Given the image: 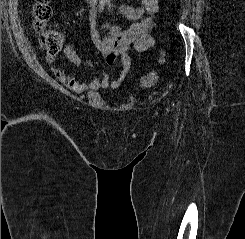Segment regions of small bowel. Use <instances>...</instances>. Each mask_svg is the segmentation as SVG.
I'll return each instance as SVG.
<instances>
[{
	"label": "small bowel",
	"mask_w": 245,
	"mask_h": 239,
	"mask_svg": "<svg viewBox=\"0 0 245 239\" xmlns=\"http://www.w3.org/2000/svg\"><path fill=\"white\" fill-rule=\"evenodd\" d=\"M158 9L157 0H141L140 7H132L122 4L119 13L126 19L135 21L128 29L103 24L98 26L96 13L93 10L89 15L90 37L95 48L105 58L109 66L119 63V72L116 78L110 79L107 73L99 72L92 81L81 82L75 77L68 75L61 66L53 65L57 60V54H48L46 62L52 65V72L57 79L68 89L75 93L97 89H118L130 70L129 49L133 46L138 52L148 50L153 39L149 34L151 19L149 15ZM147 15L146 17H144ZM63 52L67 59L75 66H91L90 61H83L71 44H64Z\"/></svg>",
	"instance_id": "c3829d8e"
}]
</instances>
